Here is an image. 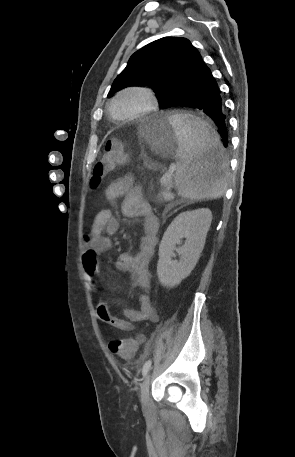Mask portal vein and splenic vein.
Listing matches in <instances>:
<instances>
[{"label":"portal vein and splenic vein","instance_id":"1","mask_svg":"<svg viewBox=\"0 0 295 457\" xmlns=\"http://www.w3.org/2000/svg\"><path fill=\"white\" fill-rule=\"evenodd\" d=\"M173 173H174V167H171L168 171H166L163 174V176L161 177L160 182L165 184L168 181H170L172 179Z\"/></svg>","mask_w":295,"mask_h":457}]
</instances>
